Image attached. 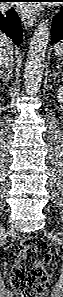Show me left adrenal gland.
Segmentation results:
<instances>
[{
  "mask_svg": "<svg viewBox=\"0 0 63 297\" xmlns=\"http://www.w3.org/2000/svg\"><path fill=\"white\" fill-rule=\"evenodd\" d=\"M57 69H56V72H55V74H54V77H57V75L59 74V73H61V69H60V65H58L57 67H56Z\"/></svg>",
  "mask_w": 63,
  "mask_h": 297,
  "instance_id": "left-adrenal-gland-1",
  "label": "left adrenal gland"
}]
</instances>
